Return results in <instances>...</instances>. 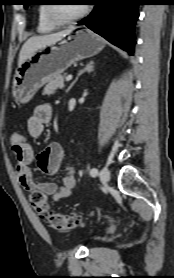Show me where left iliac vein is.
<instances>
[{"label": "left iliac vein", "instance_id": "1", "mask_svg": "<svg viewBox=\"0 0 174 278\" xmlns=\"http://www.w3.org/2000/svg\"><path fill=\"white\" fill-rule=\"evenodd\" d=\"M100 179L102 182L106 183L110 179V171L107 167H103L100 171Z\"/></svg>", "mask_w": 174, "mask_h": 278}]
</instances>
